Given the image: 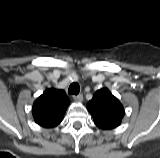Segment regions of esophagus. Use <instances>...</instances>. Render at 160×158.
Here are the masks:
<instances>
[{"label": "esophagus", "instance_id": "obj_1", "mask_svg": "<svg viewBox=\"0 0 160 158\" xmlns=\"http://www.w3.org/2000/svg\"><path fill=\"white\" fill-rule=\"evenodd\" d=\"M73 99L77 102L82 101L83 100V95L82 94L74 95Z\"/></svg>", "mask_w": 160, "mask_h": 158}]
</instances>
